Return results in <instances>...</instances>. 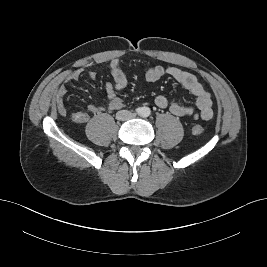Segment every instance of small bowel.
I'll use <instances>...</instances> for the list:
<instances>
[{
    "label": "small bowel",
    "mask_w": 267,
    "mask_h": 267,
    "mask_svg": "<svg viewBox=\"0 0 267 267\" xmlns=\"http://www.w3.org/2000/svg\"><path fill=\"white\" fill-rule=\"evenodd\" d=\"M107 66L111 72L113 81L107 82L105 90L108 103L106 106L90 104L87 111H77L71 115V119L78 124L86 123L90 115H99L106 110H120L125 106L124 101L118 95L127 86V78L119 59L108 61ZM82 69L73 70L65 76L64 83L61 84L55 94L57 103V111L61 116L67 115V108L64 103V97L67 94L66 83L77 81L83 74ZM87 76L96 79L95 71H87ZM168 76L183 86L192 96L195 97V105L185 103L184 98L180 100L169 101L164 95L155 97L154 103L158 108H168L170 112L178 117H192L194 119L209 120L213 116V97L207 92L198 79L191 73L184 71L178 67L153 66L146 71L145 78L148 82H155L163 77Z\"/></svg>",
    "instance_id": "c3829d8e"
}]
</instances>
